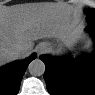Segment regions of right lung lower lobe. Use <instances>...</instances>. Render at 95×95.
I'll return each instance as SVG.
<instances>
[{
	"label": "right lung lower lobe",
	"instance_id": "right-lung-lower-lobe-1",
	"mask_svg": "<svg viewBox=\"0 0 95 95\" xmlns=\"http://www.w3.org/2000/svg\"><path fill=\"white\" fill-rule=\"evenodd\" d=\"M35 54L24 61H16L0 69V83L2 90L9 95H15L19 91L21 79L29 63L34 60Z\"/></svg>",
	"mask_w": 95,
	"mask_h": 95
}]
</instances>
